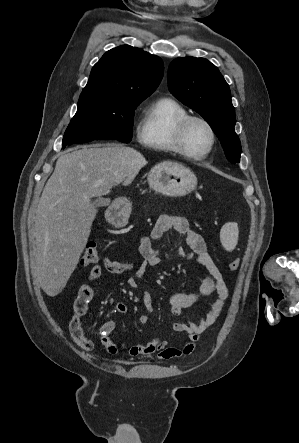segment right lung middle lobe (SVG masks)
I'll list each match as a JSON object with an SVG mask.
<instances>
[{
  "label": "right lung middle lobe",
  "mask_w": 299,
  "mask_h": 443,
  "mask_svg": "<svg viewBox=\"0 0 299 443\" xmlns=\"http://www.w3.org/2000/svg\"><path fill=\"white\" fill-rule=\"evenodd\" d=\"M142 100L80 95L78 109L63 137V147L92 140H132L134 110Z\"/></svg>",
  "instance_id": "dd1d6c3e"
}]
</instances>
